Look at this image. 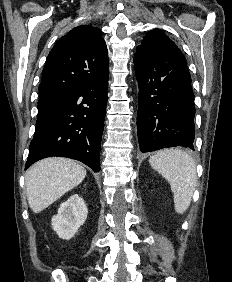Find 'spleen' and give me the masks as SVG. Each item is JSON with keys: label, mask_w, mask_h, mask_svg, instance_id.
I'll use <instances>...</instances> for the list:
<instances>
[{"label": "spleen", "mask_w": 232, "mask_h": 282, "mask_svg": "<svg viewBox=\"0 0 232 282\" xmlns=\"http://www.w3.org/2000/svg\"><path fill=\"white\" fill-rule=\"evenodd\" d=\"M149 162L170 183L176 212L184 213L190 205L195 188L194 160L181 150H164L150 157Z\"/></svg>", "instance_id": "spleen-1"}]
</instances>
